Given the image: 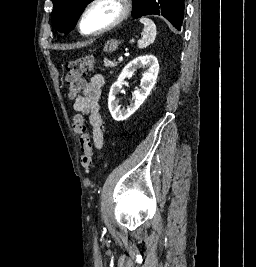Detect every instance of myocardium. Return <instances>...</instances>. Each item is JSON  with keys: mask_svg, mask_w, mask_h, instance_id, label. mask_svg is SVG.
Listing matches in <instances>:
<instances>
[{"mask_svg": "<svg viewBox=\"0 0 256 267\" xmlns=\"http://www.w3.org/2000/svg\"><path fill=\"white\" fill-rule=\"evenodd\" d=\"M101 4H111L114 7H116V9L118 10L117 17L107 27H105L104 29L100 31L92 32V33L85 32L82 26L85 15L91 9ZM128 14H129V7L122 0H95L91 2L88 6H86L80 12L78 16L77 26L82 35L87 36V37H97V36L107 33L108 31H110L111 29L119 25L127 17Z\"/></svg>", "mask_w": 256, "mask_h": 267, "instance_id": "obj_1", "label": "myocardium"}]
</instances>
